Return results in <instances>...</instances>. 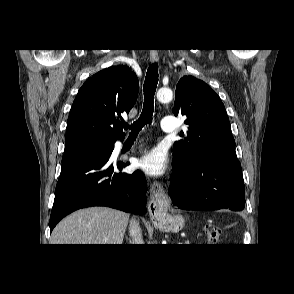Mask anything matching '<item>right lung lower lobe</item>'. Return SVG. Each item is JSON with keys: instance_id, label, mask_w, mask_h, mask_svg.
Masks as SVG:
<instances>
[{"instance_id": "obj_1", "label": "right lung lower lobe", "mask_w": 294, "mask_h": 294, "mask_svg": "<svg viewBox=\"0 0 294 294\" xmlns=\"http://www.w3.org/2000/svg\"><path fill=\"white\" fill-rule=\"evenodd\" d=\"M86 151L62 158L50 216V231L69 213L90 206H108L125 212H146V179L140 172H115L128 163L111 164L113 151Z\"/></svg>"}]
</instances>
